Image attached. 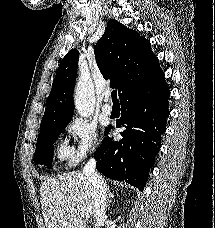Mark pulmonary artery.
<instances>
[{
    "mask_svg": "<svg viewBox=\"0 0 215 228\" xmlns=\"http://www.w3.org/2000/svg\"><path fill=\"white\" fill-rule=\"evenodd\" d=\"M105 104L102 107V112L105 115H110L113 111L112 105H111V93L107 92L106 97H105Z\"/></svg>",
    "mask_w": 215,
    "mask_h": 228,
    "instance_id": "e3ab8cb5",
    "label": "pulmonary artery"
}]
</instances>
